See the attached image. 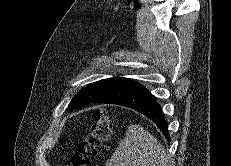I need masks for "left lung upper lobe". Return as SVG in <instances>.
Segmentation results:
<instances>
[{
  "mask_svg": "<svg viewBox=\"0 0 231 166\" xmlns=\"http://www.w3.org/2000/svg\"><path fill=\"white\" fill-rule=\"evenodd\" d=\"M128 80L129 78L113 77L88 84L87 87L83 88L74 96L68 107L70 110H73L89 105L94 100L116 89L119 85Z\"/></svg>",
  "mask_w": 231,
  "mask_h": 166,
  "instance_id": "5c2ea615",
  "label": "left lung upper lobe"
}]
</instances>
